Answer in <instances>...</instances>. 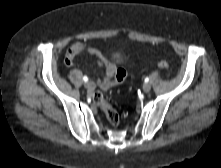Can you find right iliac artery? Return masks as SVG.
<instances>
[{"mask_svg":"<svg viewBox=\"0 0 221 168\" xmlns=\"http://www.w3.org/2000/svg\"><path fill=\"white\" fill-rule=\"evenodd\" d=\"M83 80H84V82H87V81H88V77H87V76H84V77H83Z\"/></svg>","mask_w":221,"mask_h":168,"instance_id":"obj_1","label":"right iliac artery"}]
</instances>
